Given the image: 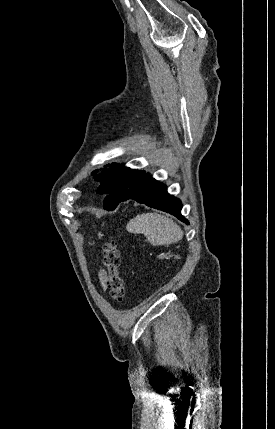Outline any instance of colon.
Wrapping results in <instances>:
<instances>
[{
  "label": "colon",
  "mask_w": 275,
  "mask_h": 429,
  "mask_svg": "<svg viewBox=\"0 0 275 429\" xmlns=\"http://www.w3.org/2000/svg\"><path fill=\"white\" fill-rule=\"evenodd\" d=\"M103 265L107 270L106 286L112 298L121 302L125 296L124 281L120 275V251L116 241H108L103 246Z\"/></svg>",
  "instance_id": "5ec220e1"
}]
</instances>
